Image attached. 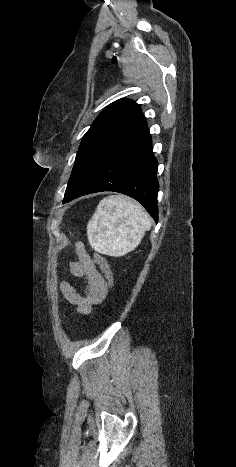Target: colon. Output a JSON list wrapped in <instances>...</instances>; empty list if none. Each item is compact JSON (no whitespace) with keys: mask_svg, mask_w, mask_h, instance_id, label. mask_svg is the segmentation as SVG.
I'll list each match as a JSON object with an SVG mask.
<instances>
[{"mask_svg":"<svg viewBox=\"0 0 236 467\" xmlns=\"http://www.w3.org/2000/svg\"><path fill=\"white\" fill-rule=\"evenodd\" d=\"M93 258H94V261L99 266V268L101 269V271L103 272L108 282L109 287H111L113 284V272L107 260L97 252H94Z\"/></svg>","mask_w":236,"mask_h":467,"instance_id":"5ec220e1","label":"colon"}]
</instances>
